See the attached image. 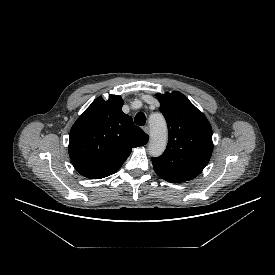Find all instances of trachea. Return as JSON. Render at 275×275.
Here are the masks:
<instances>
[{"label":"trachea","instance_id":"trachea-1","mask_svg":"<svg viewBox=\"0 0 275 275\" xmlns=\"http://www.w3.org/2000/svg\"><path fill=\"white\" fill-rule=\"evenodd\" d=\"M134 122L136 125L143 126L146 123V116L143 112H139L136 114L134 118Z\"/></svg>","mask_w":275,"mask_h":275}]
</instances>
